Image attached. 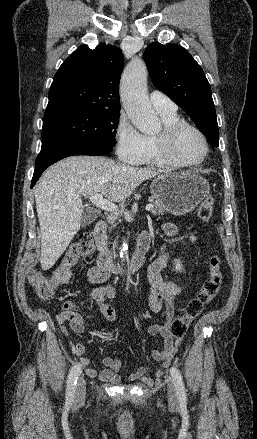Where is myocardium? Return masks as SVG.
I'll use <instances>...</instances> for the list:
<instances>
[{"mask_svg": "<svg viewBox=\"0 0 257 439\" xmlns=\"http://www.w3.org/2000/svg\"><path fill=\"white\" fill-rule=\"evenodd\" d=\"M186 129H190L197 133L204 144V154L195 162L180 161L174 154V143L179 134ZM156 142L166 163L177 168L190 169L199 166L206 160L210 151L209 142L204 132L197 126L183 120L173 124L164 125L161 131L156 135Z\"/></svg>", "mask_w": 257, "mask_h": 439, "instance_id": "obj_1", "label": "myocardium"}]
</instances>
